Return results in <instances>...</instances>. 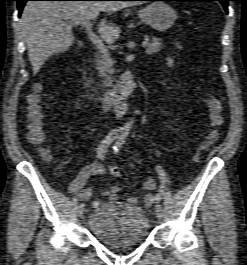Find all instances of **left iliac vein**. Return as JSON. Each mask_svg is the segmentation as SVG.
I'll return each instance as SVG.
<instances>
[{
  "mask_svg": "<svg viewBox=\"0 0 247 265\" xmlns=\"http://www.w3.org/2000/svg\"><path fill=\"white\" fill-rule=\"evenodd\" d=\"M155 213H156V217L161 220L162 216H163V212H162V208L160 205H157L155 208Z\"/></svg>",
  "mask_w": 247,
  "mask_h": 265,
  "instance_id": "4c4485c4",
  "label": "left iliac vein"
}]
</instances>
